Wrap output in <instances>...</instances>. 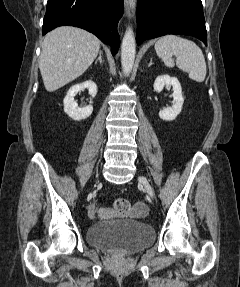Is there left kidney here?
<instances>
[{"mask_svg": "<svg viewBox=\"0 0 240 287\" xmlns=\"http://www.w3.org/2000/svg\"><path fill=\"white\" fill-rule=\"evenodd\" d=\"M173 87V105L160 110L159 117L165 121H173L180 114L184 103L182 88L177 78L169 75H160L155 79L154 90L160 93L165 86Z\"/></svg>", "mask_w": 240, "mask_h": 287, "instance_id": "left-kidney-1", "label": "left kidney"}]
</instances>
